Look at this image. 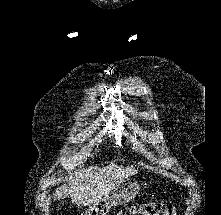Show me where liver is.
I'll use <instances>...</instances> for the list:
<instances>
[{
    "mask_svg": "<svg viewBox=\"0 0 221 215\" xmlns=\"http://www.w3.org/2000/svg\"><path fill=\"white\" fill-rule=\"evenodd\" d=\"M133 166H119L111 163L95 171H88L76 178L69 186H61L54 194V200L70 196L77 206H91L101 201L120 181L137 174Z\"/></svg>",
    "mask_w": 221,
    "mask_h": 215,
    "instance_id": "liver-1",
    "label": "liver"
}]
</instances>
